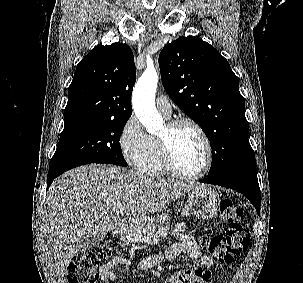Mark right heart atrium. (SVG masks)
<instances>
[{"label": "right heart atrium", "mask_w": 303, "mask_h": 283, "mask_svg": "<svg viewBox=\"0 0 303 283\" xmlns=\"http://www.w3.org/2000/svg\"><path fill=\"white\" fill-rule=\"evenodd\" d=\"M150 136L145 132L135 115H131L121 128L119 147L130 165L137 166L148 150Z\"/></svg>", "instance_id": "right-heart-atrium-1"}]
</instances>
